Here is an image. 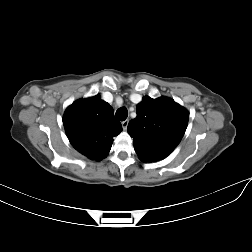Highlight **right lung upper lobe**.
I'll return each mask as SVG.
<instances>
[{
	"instance_id": "cb5924a9",
	"label": "right lung upper lobe",
	"mask_w": 252,
	"mask_h": 252,
	"mask_svg": "<svg viewBox=\"0 0 252 252\" xmlns=\"http://www.w3.org/2000/svg\"><path fill=\"white\" fill-rule=\"evenodd\" d=\"M63 124L72 146L91 160L107 157L113 137L122 131L113 108L99 95L80 99L70 105Z\"/></svg>"
}]
</instances>
